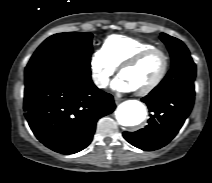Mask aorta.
Listing matches in <instances>:
<instances>
[{
	"label": "aorta",
	"instance_id": "762f6f07",
	"mask_svg": "<svg viewBox=\"0 0 212 183\" xmlns=\"http://www.w3.org/2000/svg\"><path fill=\"white\" fill-rule=\"evenodd\" d=\"M145 106L137 100H128L119 105L116 119L123 126H137L146 118Z\"/></svg>",
	"mask_w": 212,
	"mask_h": 183
}]
</instances>
